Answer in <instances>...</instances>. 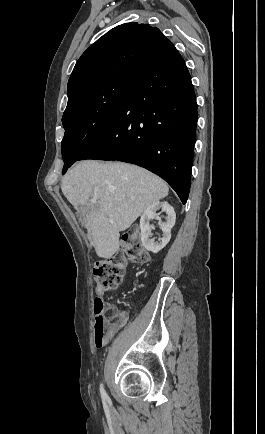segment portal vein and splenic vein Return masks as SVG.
<instances>
[{
  "label": "portal vein and splenic vein",
  "mask_w": 265,
  "mask_h": 434,
  "mask_svg": "<svg viewBox=\"0 0 265 434\" xmlns=\"http://www.w3.org/2000/svg\"><path fill=\"white\" fill-rule=\"evenodd\" d=\"M130 200H133V198H130ZM91 204H97V200H90Z\"/></svg>",
  "instance_id": "18ae733b"
}]
</instances>
